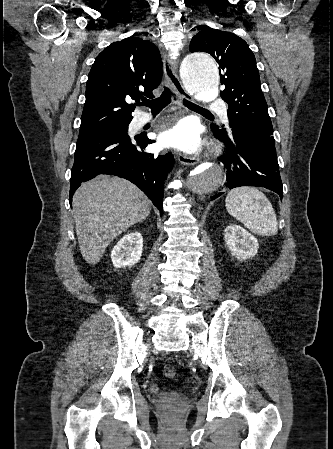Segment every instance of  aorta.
I'll return each mask as SVG.
<instances>
[{"label": "aorta", "instance_id": "aorta-1", "mask_svg": "<svg viewBox=\"0 0 333 449\" xmlns=\"http://www.w3.org/2000/svg\"><path fill=\"white\" fill-rule=\"evenodd\" d=\"M185 89L193 95L214 99L218 94L219 71L214 59L195 52L186 56L180 67ZM224 170L219 163H203L192 169L185 179V191L193 195L216 192L224 183Z\"/></svg>", "mask_w": 333, "mask_h": 449}]
</instances>
